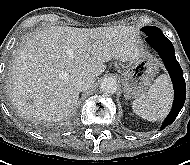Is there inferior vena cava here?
<instances>
[{
	"instance_id": "602c4592",
	"label": "inferior vena cava",
	"mask_w": 190,
	"mask_h": 165,
	"mask_svg": "<svg viewBox=\"0 0 190 165\" xmlns=\"http://www.w3.org/2000/svg\"><path fill=\"white\" fill-rule=\"evenodd\" d=\"M95 82V77L91 74H78L74 78V85L77 91H85L89 89Z\"/></svg>"
}]
</instances>
